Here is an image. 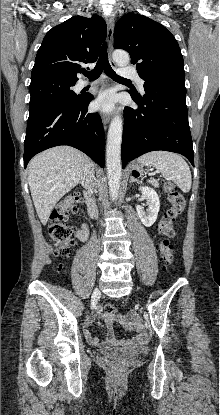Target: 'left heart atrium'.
Listing matches in <instances>:
<instances>
[{"instance_id": "39dd6f15", "label": "left heart atrium", "mask_w": 220, "mask_h": 415, "mask_svg": "<svg viewBox=\"0 0 220 415\" xmlns=\"http://www.w3.org/2000/svg\"><path fill=\"white\" fill-rule=\"evenodd\" d=\"M116 102V96L112 91L101 93L95 101V106L101 111H111Z\"/></svg>"}]
</instances>
